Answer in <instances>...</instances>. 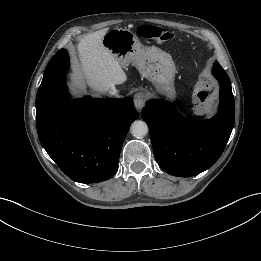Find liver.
<instances>
[{"label":"liver","mask_w":261,"mask_h":261,"mask_svg":"<svg viewBox=\"0 0 261 261\" xmlns=\"http://www.w3.org/2000/svg\"><path fill=\"white\" fill-rule=\"evenodd\" d=\"M108 30L86 35L78 43L79 63L74 67L73 80L81 85L87 82L94 90L106 93L127 80L120 63L107 50L102 39Z\"/></svg>","instance_id":"1"}]
</instances>
